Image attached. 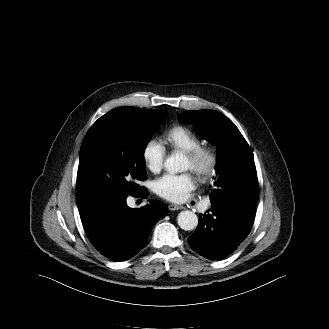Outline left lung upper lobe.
Wrapping results in <instances>:
<instances>
[{
	"label": "left lung upper lobe",
	"instance_id": "5c2ea615",
	"mask_svg": "<svg viewBox=\"0 0 329 329\" xmlns=\"http://www.w3.org/2000/svg\"><path fill=\"white\" fill-rule=\"evenodd\" d=\"M180 122L195 124L203 137L210 139L218 147L217 182L211 190L210 201L224 200L233 188L244 182L249 172L255 169L251 148L235 126L221 112L215 110H189L179 114Z\"/></svg>",
	"mask_w": 329,
	"mask_h": 329
}]
</instances>
